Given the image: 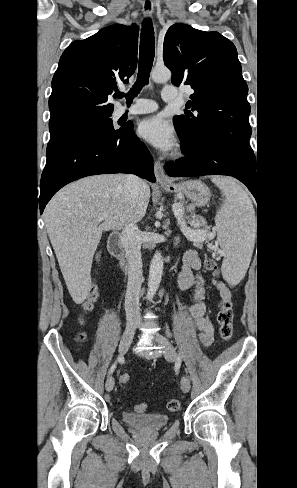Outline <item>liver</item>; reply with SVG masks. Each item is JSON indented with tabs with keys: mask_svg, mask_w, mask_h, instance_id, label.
<instances>
[{
	"mask_svg": "<svg viewBox=\"0 0 297 488\" xmlns=\"http://www.w3.org/2000/svg\"><path fill=\"white\" fill-rule=\"evenodd\" d=\"M125 174L90 176L61 189L44 212L47 233L69 293L76 304L91 289V266L103 231L119 229L127 220L140 221L147 210L150 188L144 182L130 201ZM107 213L103 222L97 216Z\"/></svg>",
	"mask_w": 297,
	"mask_h": 488,
	"instance_id": "1",
	"label": "liver"
}]
</instances>
